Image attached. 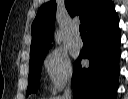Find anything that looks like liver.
<instances>
[{"label":"liver","instance_id":"1","mask_svg":"<svg viewBox=\"0 0 128 99\" xmlns=\"http://www.w3.org/2000/svg\"><path fill=\"white\" fill-rule=\"evenodd\" d=\"M55 99H63V98H61V97H57V98H55Z\"/></svg>","mask_w":128,"mask_h":99}]
</instances>
